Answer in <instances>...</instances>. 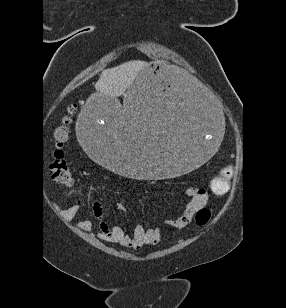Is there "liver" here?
<instances>
[{
	"label": "liver",
	"instance_id": "liver-1",
	"mask_svg": "<svg viewBox=\"0 0 286 308\" xmlns=\"http://www.w3.org/2000/svg\"><path fill=\"white\" fill-rule=\"evenodd\" d=\"M144 61H129L111 69L102 71L95 84L96 90L103 97L116 101L129 88L138 73L146 67ZM124 114L127 113L125 110ZM121 124H125L124 115L120 117Z\"/></svg>",
	"mask_w": 286,
	"mask_h": 308
}]
</instances>
